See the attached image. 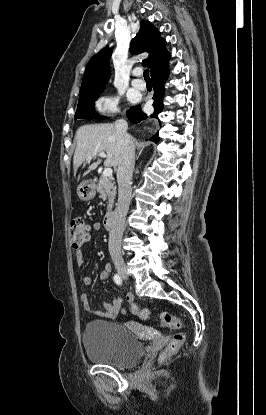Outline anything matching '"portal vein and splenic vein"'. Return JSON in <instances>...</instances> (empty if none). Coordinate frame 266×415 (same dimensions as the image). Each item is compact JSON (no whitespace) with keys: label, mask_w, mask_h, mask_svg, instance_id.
Segmentation results:
<instances>
[{"label":"portal vein and splenic vein","mask_w":266,"mask_h":415,"mask_svg":"<svg viewBox=\"0 0 266 415\" xmlns=\"http://www.w3.org/2000/svg\"><path fill=\"white\" fill-rule=\"evenodd\" d=\"M99 156L105 158L106 157V154L104 152H100L99 153ZM91 159H92V156H88L87 157V160L88 161H90ZM112 172L113 171H112V168L111 167H106L104 169L103 173H102V176L103 177H111L112 176Z\"/></svg>","instance_id":"portal-vein-and-splenic-vein-1"}]
</instances>
